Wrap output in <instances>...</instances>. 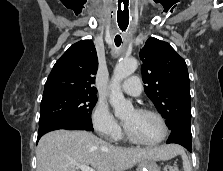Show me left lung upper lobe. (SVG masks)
<instances>
[{
  "instance_id": "5c2ea615",
  "label": "left lung upper lobe",
  "mask_w": 223,
  "mask_h": 171,
  "mask_svg": "<svg viewBox=\"0 0 223 171\" xmlns=\"http://www.w3.org/2000/svg\"><path fill=\"white\" fill-rule=\"evenodd\" d=\"M145 93L170 130L191 132L190 82L185 60L169 43L149 38L140 50Z\"/></svg>"
}]
</instances>
